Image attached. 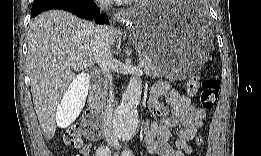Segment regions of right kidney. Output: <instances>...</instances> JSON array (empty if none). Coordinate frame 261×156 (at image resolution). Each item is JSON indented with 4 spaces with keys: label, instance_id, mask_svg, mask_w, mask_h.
<instances>
[{
    "label": "right kidney",
    "instance_id": "ca27d5eb",
    "mask_svg": "<svg viewBox=\"0 0 261 156\" xmlns=\"http://www.w3.org/2000/svg\"><path fill=\"white\" fill-rule=\"evenodd\" d=\"M84 98H85V95L81 96V99H82V100H84Z\"/></svg>",
    "mask_w": 261,
    "mask_h": 156
}]
</instances>
